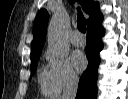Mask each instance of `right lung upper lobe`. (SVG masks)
Returning <instances> with one entry per match:
<instances>
[{
    "label": "right lung upper lobe",
    "mask_w": 128,
    "mask_h": 99,
    "mask_svg": "<svg viewBox=\"0 0 128 99\" xmlns=\"http://www.w3.org/2000/svg\"><path fill=\"white\" fill-rule=\"evenodd\" d=\"M73 0H70L72 2ZM82 4L83 10L90 16L87 20L89 23L92 19H94L99 12V4L98 2H94L93 0H80ZM49 20V15L45 9H41L33 24V41L31 45V57H35L41 54L43 43L46 37L47 24Z\"/></svg>",
    "instance_id": "obj_1"
}]
</instances>
